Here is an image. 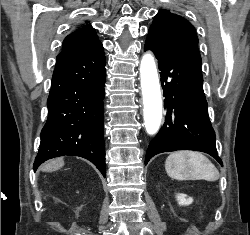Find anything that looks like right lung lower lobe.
I'll use <instances>...</instances> for the list:
<instances>
[{
    "label": "right lung lower lobe",
    "instance_id": "obj_1",
    "mask_svg": "<svg viewBox=\"0 0 250 235\" xmlns=\"http://www.w3.org/2000/svg\"><path fill=\"white\" fill-rule=\"evenodd\" d=\"M105 56L101 42L58 58L33 169L48 159L72 155L91 161L105 177L103 137Z\"/></svg>",
    "mask_w": 250,
    "mask_h": 235
}]
</instances>
